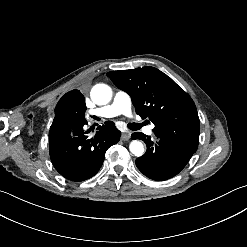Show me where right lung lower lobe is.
<instances>
[{
    "instance_id": "1",
    "label": "right lung lower lobe",
    "mask_w": 247,
    "mask_h": 247,
    "mask_svg": "<svg viewBox=\"0 0 247 247\" xmlns=\"http://www.w3.org/2000/svg\"><path fill=\"white\" fill-rule=\"evenodd\" d=\"M87 124L49 133L50 158L55 169L66 179L84 181L93 177L103 164L107 149L120 140L121 132L112 121L97 128L89 138Z\"/></svg>"
}]
</instances>
